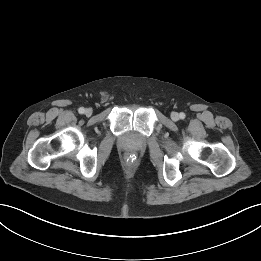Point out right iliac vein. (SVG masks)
I'll use <instances>...</instances> for the list:
<instances>
[{"label":"right iliac vein","instance_id":"63e3f726","mask_svg":"<svg viewBox=\"0 0 261 261\" xmlns=\"http://www.w3.org/2000/svg\"><path fill=\"white\" fill-rule=\"evenodd\" d=\"M92 114V110L91 109H86L85 110V115L86 116H90Z\"/></svg>","mask_w":261,"mask_h":261}]
</instances>
